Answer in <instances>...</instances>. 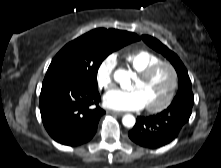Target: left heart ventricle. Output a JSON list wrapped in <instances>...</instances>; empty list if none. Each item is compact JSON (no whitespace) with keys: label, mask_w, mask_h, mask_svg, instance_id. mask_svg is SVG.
I'll return each mask as SVG.
<instances>
[{"label":"left heart ventricle","mask_w":221,"mask_h":168,"mask_svg":"<svg viewBox=\"0 0 221 168\" xmlns=\"http://www.w3.org/2000/svg\"><path fill=\"white\" fill-rule=\"evenodd\" d=\"M172 83V75L167 67L158 69L149 79L133 82L132 88L138 90L144 98L146 106L161 103L167 96Z\"/></svg>","instance_id":"b2bd125f"}]
</instances>
